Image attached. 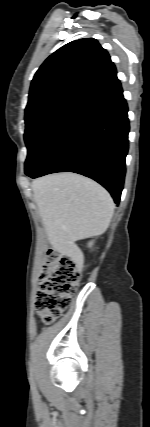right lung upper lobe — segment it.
Segmentation results:
<instances>
[{"label": "right lung upper lobe", "instance_id": "1", "mask_svg": "<svg viewBox=\"0 0 150 427\" xmlns=\"http://www.w3.org/2000/svg\"><path fill=\"white\" fill-rule=\"evenodd\" d=\"M116 68L97 40L72 41L49 56L36 72L25 115L42 107H81L119 82Z\"/></svg>", "mask_w": 150, "mask_h": 427}]
</instances>
